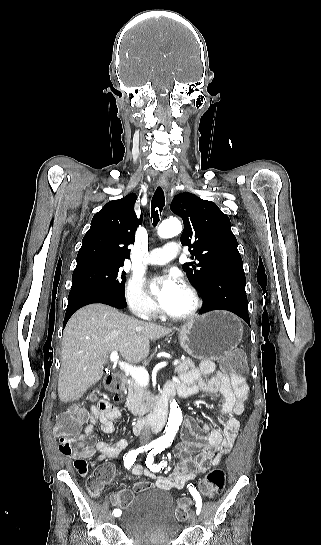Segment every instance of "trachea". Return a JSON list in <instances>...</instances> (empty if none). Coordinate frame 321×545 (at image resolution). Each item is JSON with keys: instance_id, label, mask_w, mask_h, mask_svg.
Returning a JSON list of instances; mask_svg holds the SVG:
<instances>
[{"instance_id": "1", "label": "trachea", "mask_w": 321, "mask_h": 545, "mask_svg": "<svg viewBox=\"0 0 321 545\" xmlns=\"http://www.w3.org/2000/svg\"><path fill=\"white\" fill-rule=\"evenodd\" d=\"M164 205H165L164 192L160 187H158L151 201V219L153 220V223H152L153 227H156V225L158 224L159 215H161Z\"/></svg>"}]
</instances>
